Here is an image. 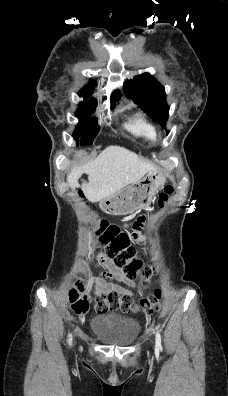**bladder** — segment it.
I'll use <instances>...</instances> for the list:
<instances>
[{"instance_id":"1","label":"bladder","mask_w":228,"mask_h":396,"mask_svg":"<svg viewBox=\"0 0 228 396\" xmlns=\"http://www.w3.org/2000/svg\"><path fill=\"white\" fill-rule=\"evenodd\" d=\"M90 329L101 342L125 347L139 338L141 324L136 319L110 313L94 317L91 320Z\"/></svg>"}]
</instances>
